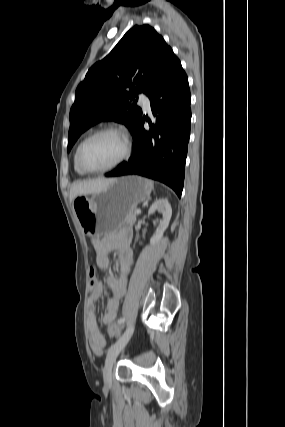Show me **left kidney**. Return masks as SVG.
<instances>
[{
  "label": "left kidney",
  "instance_id": "left-kidney-1",
  "mask_svg": "<svg viewBox=\"0 0 285 427\" xmlns=\"http://www.w3.org/2000/svg\"><path fill=\"white\" fill-rule=\"evenodd\" d=\"M158 210L160 213L163 214V219L160 220L159 226L157 227L155 236L151 239V244L154 245L158 243L162 236L164 231L167 229L171 215H172V209L169 201L165 198L159 199L156 202L152 204V206L149 209V214L152 215L155 213V211Z\"/></svg>",
  "mask_w": 285,
  "mask_h": 427
}]
</instances>
